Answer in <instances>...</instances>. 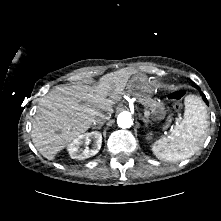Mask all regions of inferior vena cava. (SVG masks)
Instances as JSON below:
<instances>
[{"label":"inferior vena cava","mask_w":221,"mask_h":221,"mask_svg":"<svg viewBox=\"0 0 221 221\" xmlns=\"http://www.w3.org/2000/svg\"><path fill=\"white\" fill-rule=\"evenodd\" d=\"M109 118H110V114L99 113L93 119V123H94V125H103Z\"/></svg>","instance_id":"602c4592"}]
</instances>
